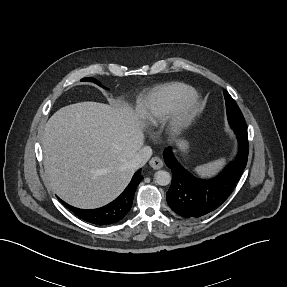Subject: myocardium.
<instances>
[{
	"label": "myocardium",
	"instance_id": "obj_1",
	"mask_svg": "<svg viewBox=\"0 0 287 287\" xmlns=\"http://www.w3.org/2000/svg\"><path fill=\"white\" fill-rule=\"evenodd\" d=\"M201 109V99L194 91H189L183 95L170 110L165 132L169 139H180Z\"/></svg>",
	"mask_w": 287,
	"mask_h": 287
}]
</instances>
